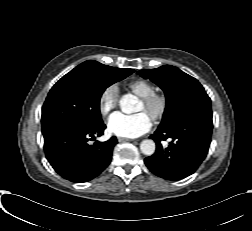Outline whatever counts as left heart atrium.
I'll use <instances>...</instances> for the list:
<instances>
[{"instance_id": "obj_1", "label": "left heart atrium", "mask_w": 252, "mask_h": 231, "mask_svg": "<svg viewBox=\"0 0 252 231\" xmlns=\"http://www.w3.org/2000/svg\"><path fill=\"white\" fill-rule=\"evenodd\" d=\"M152 122L148 114L140 112L133 115L116 113L108 122V129L116 136L123 138H135L148 132Z\"/></svg>"}]
</instances>
